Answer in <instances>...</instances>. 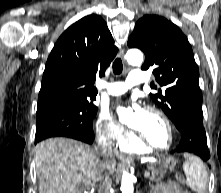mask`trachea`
Masks as SVG:
<instances>
[{"label": "trachea", "mask_w": 221, "mask_h": 193, "mask_svg": "<svg viewBox=\"0 0 221 193\" xmlns=\"http://www.w3.org/2000/svg\"><path fill=\"white\" fill-rule=\"evenodd\" d=\"M123 70L122 61L120 58L115 59L113 62V72L114 74H121Z\"/></svg>", "instance_id": "obj_1"}]
</instances>
